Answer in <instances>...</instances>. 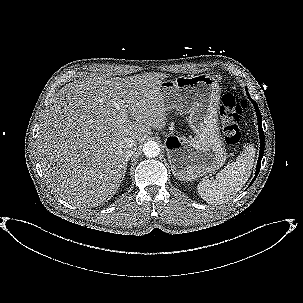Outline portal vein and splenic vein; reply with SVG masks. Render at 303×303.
<instances>
[{
    "label": "portal vein and splenic vein",
    "mask_w": 303,
    "mask_h": 303,
    "mask_svg": "<svg viewBox=\"0 0 303 303\" xmlns=\"http://www.w3.org/2000/svg\"><path fill=\"white\" fill-rule=\"evenodd\" d=\"M122 117H123V119H124V120H126V119H127L126 114H123V116H122Z\"/></svg>",
    "instance_id": "18ae733b"
}]
</instances>
